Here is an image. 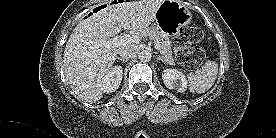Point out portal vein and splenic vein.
Returning a JSON list of instances; mask_svg holds the SVG:
<instances>
[{"label":"portal vein and splenic vein","instance_id":"obj_1","mask_svg":"<svg viewBox=\"0 0 276 138\" xmlns=\"http://www.w3.org/2000/svg\"><path fill=\"white\" fill-rule=\"evenodd\" d=\"M139 41V36L126 34L124 36H115L111 40L103 42L101 44H104L106 45V47L110 48L111 46H119L121 44L139 43ZM154 46L156 49L158 48L157 43H154Z\"/></svg>","mask_w":276,"mask_h":138}]
</instances>
